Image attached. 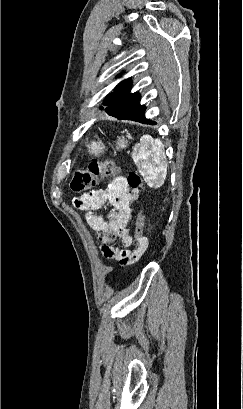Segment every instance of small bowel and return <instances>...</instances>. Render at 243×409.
<instances>
[{"label":"small bowel","mask_w":243,"mask_h":409,"mask_svg":"<svg viewBox=\"0 0 243 409\" xmlns=\"http://www.w3.org/2000/svg\"><path fill=\"white\" fill-rule=\"evenodd\" d=\"M138 197V189H131L125 178H118L105 188L84 194L75 201L78 208L88 211L86 221L101 243L103 256L123 266L138 261L148 246L145 238L140 248H131L133 237L128 223L131 218V203ZM107 204L113 210L106 218L94 213ZM117 240L120 242L118 246L110 245Z\"/></svg>","instance_id":"c3829d8e"}]
</instances>
